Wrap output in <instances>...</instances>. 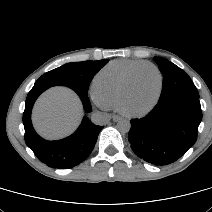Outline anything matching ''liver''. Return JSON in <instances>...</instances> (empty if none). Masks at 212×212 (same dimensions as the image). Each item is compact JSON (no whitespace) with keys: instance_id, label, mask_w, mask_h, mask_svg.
<instances>
[{"instance_id":"liver-1","label":"liver","mask_w":212,"mask_h":212,"mask_svg":"<svg viewBox=\"0 0 212 212\" xmlns=\"http://www.w3.org/2000/svg\"><path fill=\"white\" fill-rule=\"evenodd\" d=\"M82 106L70 89L54 87L45 92L33 109V123L43 137L56 139L70 134L82 117Z\"/></svg>"}]
</instances>
